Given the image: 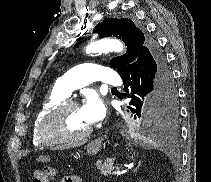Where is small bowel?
<instances>
[{"mask_svg":"<svg viewBox=\"0 0 211 182\" xmlns=\"http://www.w3.org/2000/svg\"><path fill=\"white\" fill-rule=\"evenodd\" d=\"M63 182H82V179L78 176H69L66 177Z\"/></svg>","mask_w":211,"mask_h":182,"instance_id":"obj_1","label":"small bowel"}]
</instances>
